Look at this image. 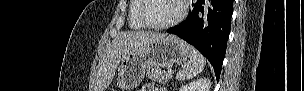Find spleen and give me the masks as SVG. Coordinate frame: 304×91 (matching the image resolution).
Masks as SVG:
<instances>
[{"instance_id": "spleen-1", "label": "spleen", "mask_w": 304, "mask_h": 91, "mask_svg": "<svg viewBox=\"0 0 304 91\" xmlns=\"http://www.w3.org/2000/svg\"><path fill=\"white\" fill-rule=\"evenodd\" d=\"M189 50V61L182 65V69L177 73V80L192 79L197 76L205 67L206 59L194 47L187 45Z\"/></svg>"}]
</instances>
